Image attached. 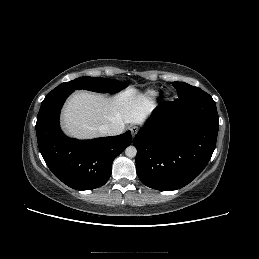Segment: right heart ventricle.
Here are the masks:
<instances>
[{
  "label": "right heart ventricle",
  "mask_w": 259,
  "mask_h": 259,
  "mask_svg": "<svg viewBox=\"0 0 259 259\" xmlns=\"http://www.w3.org/2000/svg\"><path fill=\"white\" fill-rule=\"evenodd\" d=\"M156 94H157L156 91H153V90L147 92V96L149 97H155Z\"/></svg>",
  "instance_id": "right-heart-ventricle-1"
}]
</instances>
